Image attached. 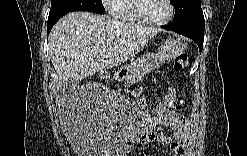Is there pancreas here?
Returning a JSON list of instances; mask_svg holds the SVG:
<instances>
[{
  "mask_svg": "<svg viewBox=\"0 0 247 156\" xmlns=\"http://www.w3.org/2000/svg\"><path fill=\"white\" fill-rule=\"evenodd\" d=\"M149 71L143 67L142 64L133 63L131 66L127 67V75L124 78H119L121 81H125L126 85L135 84L142 80V78ZM118 77H116L117 79Z\"/></svg>",
  "mask_w": 247,
  "mask_h": 156,
  "instance_id": "pancreas-1",
  "label": "pancreas"
}]
</instances>
